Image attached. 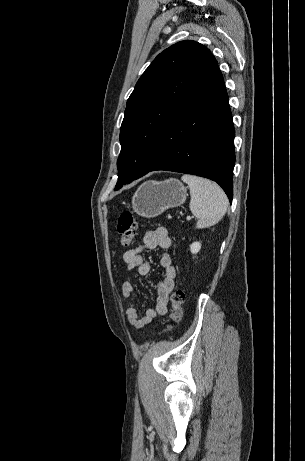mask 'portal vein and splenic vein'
Masks as SVG:
<instances>
[{
	"instance_id": "1",
	"label": "portal vein and splenic vein",
	"mask_w": 305,
	"mask_h": 461,
	"mask_svg": "<svg viewBox=\"0 0 305 461\" xmlns=\"http://www.w3.org/2000/svg\"><path fill=\"white\" fill-rule=\"evenodd\" d=\"M186 219L189 221V220H191V219H192V217H190V216H187V217H186Z\"/></svg>"
}]
</instances>
